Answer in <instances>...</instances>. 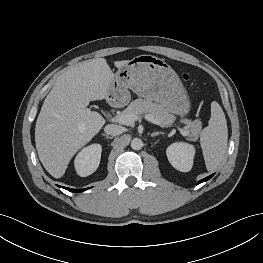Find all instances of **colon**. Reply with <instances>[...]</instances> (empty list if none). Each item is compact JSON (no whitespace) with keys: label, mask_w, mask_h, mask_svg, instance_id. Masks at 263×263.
I'll return each mask as SVG.
<instances>
[{"label":"colon","mask_w":263,"mask_h":263,"mask_svg":"<svg viewBox=\"0 0 263 263\" xmlns=\"http://www.w3.org/2000/svg\"><path fill=\"white\" fill-rule=\"evenodd\" d=\"M183 79H184L185 81H187V82H190V81H191V78H190V76H189L188 74H184V75H183Z\"/></svg>","instance_id":"1"}]
</instances>
